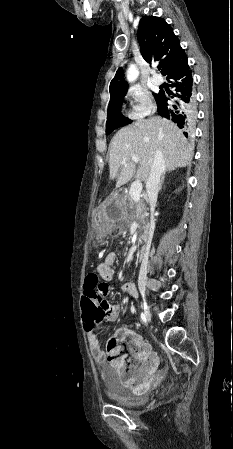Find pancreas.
<instances>
[{"label":"pancreas","instance_id":"1","mask_svg":"<svg viewBox=\"0 0 233 449\" xmlns=\"http://www.w3.org/2000/svg\"><path fill=\"white\" fill-rule=\"evenodd\" d=\"M121 204L122 214L125 219L138 220L141 224L146 225L148 213L144 198H140L138 202H135L130 194H127L122 197Z\"/></svg>","mask_w":233,"mask_h":449}]
</instances>
